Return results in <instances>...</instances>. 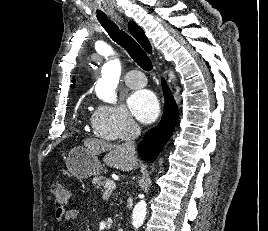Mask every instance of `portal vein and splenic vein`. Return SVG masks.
Returning <instances> with one entry per match:
<instances>
[{
    "instance_id": "portal-vein-and-splenic-vein-1",
    "label": "portal vein and splenic vein",
    "mask_w": 268,
    "mask_h": 231,
    "mask_svg": "<svg viewBox=\"0 0 268 231\" xmlns=\"http://www.w3.org/2000/svg\"><path fill=\"white\" fill-rule=\"evenodd\" d=\"M104 187H105L106 192H109V191H112L116 188V184L114 181L108 180V181H106Z\"/></svg>"
}]
</instances>
